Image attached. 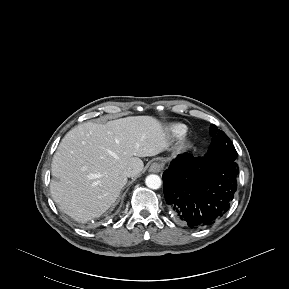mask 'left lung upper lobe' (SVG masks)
<instances>
[{"mask_svg":"<svg viewBox=\"0 0 289 289\" xmlns=\"http://www.w3.org/2000/svg\"><path fill=\"white\" fill-rule=\"evenodd\" d=\"M210 135L212 142L206 156L220 163L235 161L237 152L228 136L213 124L210 127Z\"/></svg>","mask_w":289,"mask_h":289,"instance_id":"1","label":"left lung upper lobe"}]
</instances>
